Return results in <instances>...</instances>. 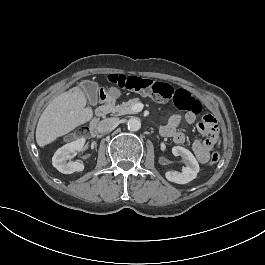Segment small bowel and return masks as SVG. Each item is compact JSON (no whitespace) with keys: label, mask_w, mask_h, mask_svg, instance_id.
I'll return each mask as SVG.
<instances>
[{"label":"small bowel","mask_w":265,"mask_h":265,"mask_svg":"<svg viewBox=\"0 0 265 265\" xmlns=\"http://www.w3.org/2000/svg\"><path fill=\"white\" fill-rule=\"evenodd\" d=\"M181 120L179 115H172L167 123L160 129L162 136L171 138L177 145H182L186 141L185 134L178 129ZM185 120L189 124H193L195 122V116L189 113L185 116ZM197 129L198 132L206 138L204 140H195L192 144V151L196 159L200 163L205 164L209 162L212 150L219 143V129L215 123L212 127L214 130L212 133L211 130L205 126L203 121L197 125Z\"/></svg>","instance_id":"c3829d8e"}]
</instances>
